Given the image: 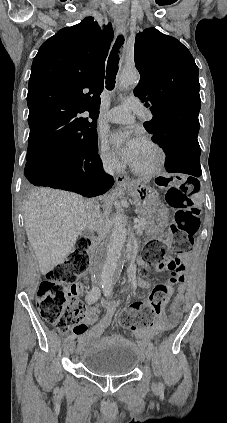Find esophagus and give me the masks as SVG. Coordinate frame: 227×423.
Instances as JSON below:
<instances>
[{"instance_id":"esophagus-1","label":"esophagus","mask_w":227,"mask_h":423,"mask_svg":"<svg viewBox=\"0 0 227 423\" xmlns=\"http://www.w3.org/2000/svg\"><path fill=\"white\" fill-rule=\"evenodd\" d=\"M117 30L120 32H125L126 30V23L125 20H116L115 22ZM117 184H125L130 182V178H128L126 175H117L116 177Z\"/></svg>"}]
</instances>
